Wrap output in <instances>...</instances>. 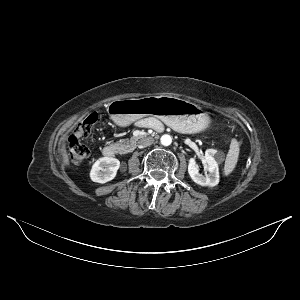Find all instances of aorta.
Segmentation results:
<instances>
[{"instance_id":"obj_1","label":"aorta","mask_w":300,"mask_h":300,"mask_svg":"<svg viewBox=\"0 0 300 300\" xmlns=\"http://www.w3.org/2000/svg\"><path fill=\"white\" fill-rule=\"evenodd\" d=\"M160 142L163 146H169L172 143V137L168 134H164L161 136Z\"/></svg>"}]
</instances>
